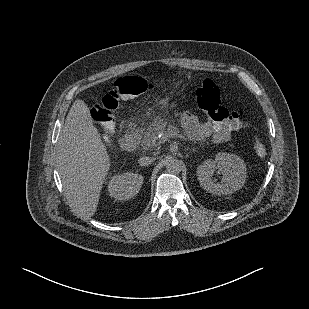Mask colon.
<instances>
[{
    "label": "colon",
    "mask_w": 309,
    "mask_h": 309,
    "mask_svg": "<svg viewBox=\"0 0 309 309\" xmlns=\"http://www.w3.org/2000/svg\"><path fill=\"white\" fill-rule=\"evenodd\" d=\"M153 88V84L136 76H122L98 97L96 106V120L100 121L104 132L112 134L116 130L115 111L121 100L132 99ZM196 101L200 110L212 123L238 127L242 124L244 112L242 110H229L221 104L220 89L211 79H205L196 90ZM257 156L264 157L267 154L266 146L261 140H255L253 144Z\"/></svg>",
    "instance_id": "colon-1"
}]
</instances>
